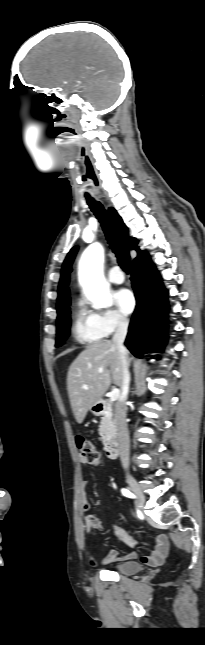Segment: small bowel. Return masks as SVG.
<instances>
[{
    "label": "small bowel",
    "instance_id": "obj_1",
    "mask_svg": "<svg viewBox=\"0 0 205 645\" xmlns=\"http://www.w3.org/2000/svg\"><path fill=\"white\" fill-rule=\"evenodd\" d=\"M80 461L81 463H86V461L83 458H81ZM82 507L85 511L89 509V503L86 499L83 500ZM87 528H90V527L87 526ZM111 528L121 542L131 547H134L138 544V541L132 536H130L124 529L114 525H112ZM152 543H153L152 552L150 554L142 556L141 561L146 565L158 566L162 564L167 558L168 551H169V540L164 535H158L153 539ZM118 554L119 553L117 550H111L109 554L102 560V563L134 560L138 557L135 551H132L121 557L118 556ZM87 561L91 566H95L97 564V561L95 560L92 553H88Z\"/></svg>",
    "mask_w": 205,
    "mask_h": 645
}]
</instances>
